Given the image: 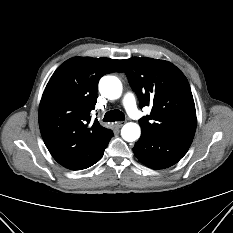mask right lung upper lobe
<instances>
[{
	"instance_id": "obj_1",
	"label": "right lung upper lobe",
	"mask_w": 233,
	"mask_h": 233,
	"mask_svg": "<svg viewBox=\"0 0 233 233\" xmlns=\"http://www.w3.org/2000/svg\"><path fill=\"white\" fill-rule=\"evenodd\" d=\"M111 72H123L110 58L73 57L61 64L50 78L39 107L42 138L54 159L71 170L92 166L111 132L96 119L98 82Z\"/></svg>"
}]
</instances>
